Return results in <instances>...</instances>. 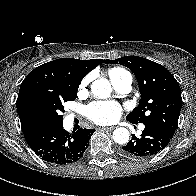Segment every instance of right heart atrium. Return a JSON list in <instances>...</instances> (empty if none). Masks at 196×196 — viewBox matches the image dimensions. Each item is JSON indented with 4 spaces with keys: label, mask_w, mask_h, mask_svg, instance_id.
I'll return each mask as SVG.
<instances>
[{
    "label": "right heart atrium",
    "mask_w": 196,
    "mask_h": 196,
    "mask_svg": "<svg viewBox=\"0 0 196 196\" xmlns=\"http://www.w3.org/2000/svg\"><path fill=\"white\" fill-rule=\"evenodd\" d=\"M88 81H89L88 78H85V79L82 81V83H81V85H80V90H83V89L85 88V86L87 85Z\"/></svg>",
    "instance_id": "obj_1"
}]
</instances>
